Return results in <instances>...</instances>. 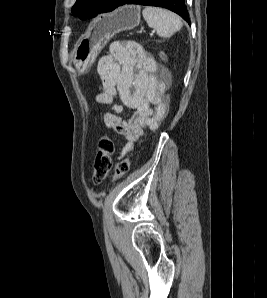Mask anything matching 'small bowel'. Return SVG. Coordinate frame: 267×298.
<instances>
[{
	"instance_id": "small-bowel-1",
	"label": "small bowel",
	"mask_w": 267,
	"mask_h": 298,
	"mask_svg": "<svg viewBox=\"0 0 267 298\" xmlns=\"http://www.w3.org/2000/svg\"><path fill=\"white\" fill-rule=\"evenodd\" d=\"M97 71L100 90L96 102L113 111L103 115V124L125 138L127 152L146 128L155 130L165 118L169 103L164 91L169 74L163 72L158 83L157 62L136 42L113 43L109 53L99 59ZM125 109L132 111L128 119L120 116Z\"/></svg>"
}]
</instances>
